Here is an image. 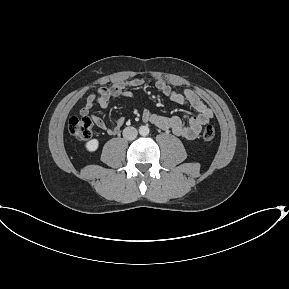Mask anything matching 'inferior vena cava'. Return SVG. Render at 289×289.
Instances as JSON below:
<instances>
[{"mask_svg":"<svg viewBox=\"0 0 289 289\" xmlns=\"http://www.w3.org/2000/svg\"><path fill=\"white\" fill-rule=\"evenodd\" d=\"M137 135H138V132H137L136 128H134V127H126L123 130V137L126 140H133L137 137Z\"/></svg>","mask_w":289,"mask_h":289,"instance_id":"obj_1","label":"inferior vena cava"}]
</instances>
